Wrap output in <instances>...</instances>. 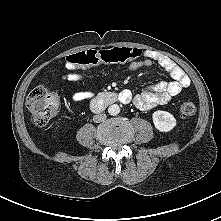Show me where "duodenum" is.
<instances>
[{
  "label": "duodenum",
  "mask_w": 221,
  "mask_h": 221,
  "mask_svg": "<svg viewBox=\"0 0 221 221\" xmlns=\"http://www.w3.org/2000/svg\"><path fill=\"white\" fill-rule=\"evenodd\" d=\"M130 97L128 95L118 94L116 92H105L95 100H93L91 104V108L94 112H101L105 107L116 103H129Z\"/></svg>",
  "instance_id": "410a0bca"
}]
</instances>
